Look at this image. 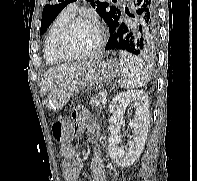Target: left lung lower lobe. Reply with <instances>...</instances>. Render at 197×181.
Instances as JSON below:
<instances>
[{"label": "left lung lower lobe", "instance_id": "0a47b994", "mask_svg": "<svg viewBox=\"0 0 197 181\" xmlns=\"http://www.w3.org/2000/svg\"><path fill=\"white\" fill-rule=\"evenodd\" d=\"M158 0H134L135 11L129 14L131 24L119 22L108 24L110 37L106 50L126 51L141 57H152L158 43Z\"/></svg>", "mask_w": 197, "mask_h": 181}]
</instances>
